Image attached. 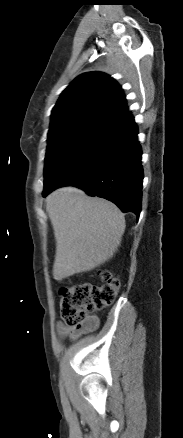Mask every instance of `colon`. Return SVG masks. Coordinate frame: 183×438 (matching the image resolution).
Listing matches in <instances>:
<instances>
[{"instance_id":"colon-1","label":"colon","mask_w":183,"mask_h":438,"mask_svg":"<svg viewBox=\"0 0 183 438\" xmlns=\"http://www.w3.org/2000/svg\"><path fill=\"white\" fill-rule=\"evenodd\" d=\"M101 284L83 282L60 291V314L70 327L84 324L88 313L102 309L115 300L120 288L119 279L110 271L100 272Z\"/></svg>"}]
</instances>
